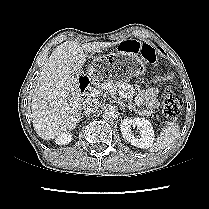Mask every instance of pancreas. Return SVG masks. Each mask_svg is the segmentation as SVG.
Masks as SVG:
<instances>
[{
    "mask_svg": "<svg viewBox=\"0 0 209 209\" xmlns=\"http://www.w3.org/2000/svg\"><path fill=\"white\" fill-rule=\"evenodd\" d=\"M99 87L105 90L114 89V90H122L126 94V98L130 100L129 107L132 108L135 112H137L139 115L142 116H150V112H147L146 110H139L136 108V106L132 103V98L135 93V89L132 85L123 82V81H113L108 80L104 83H100Z\"/></svg>",
    "mask_w": 209,
    "mask_h": 209,
    "instance_id": "pancreas-1",
    "label": "pancreas"
}]
</instances>
